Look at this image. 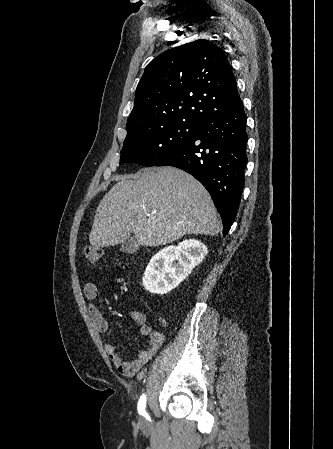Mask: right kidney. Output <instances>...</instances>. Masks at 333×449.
<instances>
[{
  "instance_id": "1",
  "label": "right kidney",
  "mask_w": 333,
  "mask_h": 449,
  "mask_svg": "<svg viewBox=\"0 0 333 449\" xmlns=\"http://www.w3.org/2000/svg\"><path fill=\"white\" fill-rule=\"evenodd\" d=\"M207 247L190 239L163 248L150 260L143 277L145 290L164 295L176 288L207 255Z\"/></svg>"
}]
</instances>
